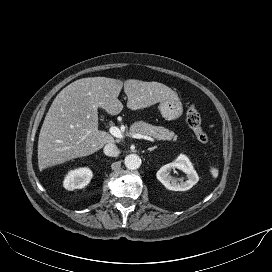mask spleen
I'll return each instance as SVG.
<instances>
[{
	"mask_svg": "<svg viewBox=\"0 0 272 272\" xmlns=\"http://www.w3.org/2000/svg\"><path fill=\"white\" fill-rule=\"evenodd\" d=\"M210 173L214 179H216L219 175V170L216 167L210 168Z\"/></svg>",
	"mask_w": 272,
	"mask_h": 272,
	"instance_id": "obj_1",
	"label": "spleen"
}]
</instances>
